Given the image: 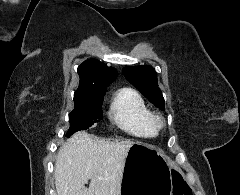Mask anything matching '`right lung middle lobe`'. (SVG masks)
Returning a JSON list of instances; mask_svg holds the SVG:
<instances>
[{"mask_svg": "<svg viewBox=\"0 0 240 195\" xmlns=\"http://www.w3.org/2000/svg\"><path fill=\"white\" fill-rule=\"evenodd\" d=\"M103 98H82L74 100V109L69 114V137L78 130L87 129L92 124L103 119Z\"/></svg>", "mask_w": 240, "mask_h": 195, "instance_id": "obj_1", "label": "right lung middle lobe"}]
</instances>
